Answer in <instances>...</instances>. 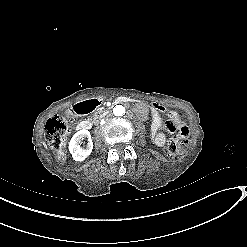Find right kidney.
<instances>
[{
  "label": "right kidney",
  "mask_w": 247,
  "mask_h": 247,
  "mask_svg": "<svg viewBox=\"0 0 247 247\" xmlns=\"http://www.w3.org/2000/svg\"><path fill=\"white\" fill-rule=\"evenodd\" d=\"M86 137L88 138L89 142L87 147L83 149L79 146V143L82 139ZM68 149L74 161L83 162L85 159H87L90 156L93 149V142L91 139L90 132L86 129H81L77 131L70 139Z\"/></svg>",
  "instance_id": "1"
}]
</instances>
